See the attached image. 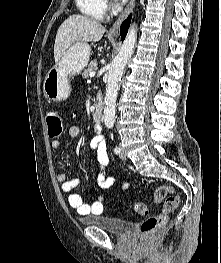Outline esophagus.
Here are the masks:
<instances>
[{
    "instance_id": "1",
    "label": "esophagus",
    "mask_w": 221,
    "mask_h": 263,
    "mask_svg": "<svg viewBox=\"0 0 221 263\" xmlns=\"http://www.w3.org/2000/svg\"><path fill=\"white\" fill-rule=\"evenodd\" d=\"M135 1L136 0H130V2L128 3V5L126 6V8L124 9V11L121 13V15L119 16V18L117 19V21L114 23V25L110 28L109 30V35L116 37L118 36V32H119V27L121 25V23L127 18V16L130 14V12L132 11V9L135 6Z\"/></svg>"
}]
</instances>
